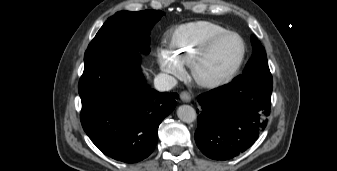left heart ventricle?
Listing matches in <instances>:
<instances>
[{"label":"left heart ventricle","instance_id":"1","mask_svg":"<svg viewBox=\"0 0 337 171\" xmlns=\"http://www.w3.org/2000/svg\"><path fill=\"white\" fill-rule=\"evenodd\" d=\"M241 45L238 38L231 36L220 41L207 55L200 67L206 78H219L226 74L240 56Z\"/></svg>","mask_w":337,"mask_h":171}]
</instances>
